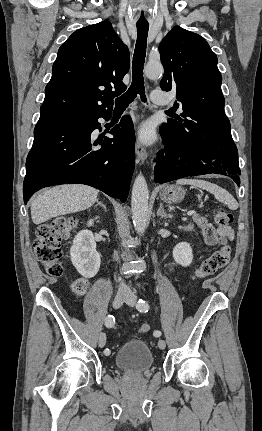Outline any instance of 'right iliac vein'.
Returning a JSON list of instances; mask_svg holds the SVG:
<instances>
[{"instance_id":"1","label":"right iliac vein","mask_w":262,"mask_h":431,"mask_svg":"<svg viewBox=\"0 0 262 431\" xmlns=\"http://www.w3.org/2000/svg\"><path fill=\"white\" fill-rule=\"evenodd\" d=\"M126 297H127V293L119 290L114 296L113 307L119 308L124 302V300L126 299ZM105 344H106V335L104 333H101L98 338V345L100 348H103Z\"/></svg>"}]
</instances>
